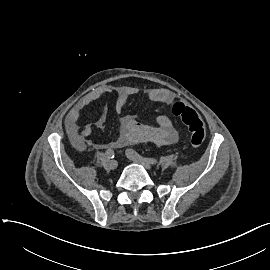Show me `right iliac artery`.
<instances>
[{
  "instance_id": "82829eb1",
  "label": "right iliac artery",
  "mask_w": 270,
  "mask_h": 270,
  "mask_svg": "<svg viewBox=\"0 0 270 270\" xmlns=\"http://www.w3.org/2000/svg\"><path fill=\"white\" fill-rule=\"evenodd\" d=\"M106 156H107V158H109V159H113L114 156H115V153H114V151H113L112 149H107V150H106Z\"/></svg>"
}]
</instances>
